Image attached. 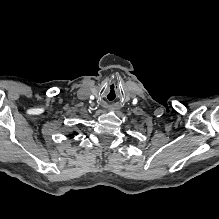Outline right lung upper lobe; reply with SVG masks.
Masks as SVG:
<instances>
[{
    "mask_svg": "<svg viewBox=\"0 0 219 219\" xmlns=\"http://www.w3.org/2000/svg\"><path fill=\"white\" fill-rule=\"evenodd\" d=\"M74 134H76V132H74ZM74 134H72L71 136H73Z\"/></svg>",
    "mask_w": 219,
    "mask_h": 219,
    "instance_id": "1",
    "label": "right lung upper lobe"
}]
</instances>
